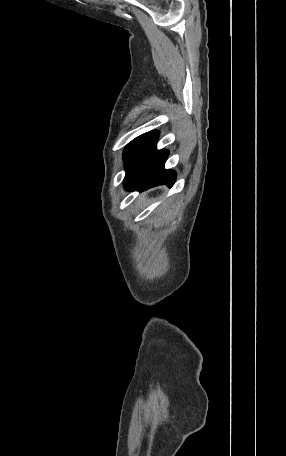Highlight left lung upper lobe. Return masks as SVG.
<instances>
[{
	"label": "left lung upper lobe",
	"mask_w": 286,
	"mask_h": 456,
	"mask_svg": "<svg viewBox=\"0 0 286 456\" xmlns=\"http://www.w3.org/2000/svg\"><path fill=\"white\" fill-rule=\"evenodd\" d=\"M136 139H137V138H135L133 141H131V142L126 146L125 151H124V156L126 155L128 149H129V147L132 145V143H133Z\"/></svg>",
	"instance_id": "1"
}]
</instances>
